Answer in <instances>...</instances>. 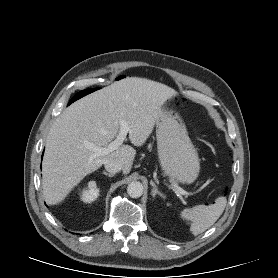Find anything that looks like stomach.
Segmentation results:
<instances>
[{
    "instance_id": "1",
    "label": "stomach",
    "mask_w": 278,
    "mask_h": 278,
    "mask_svg": "<svg viewBox=\"0 0 278 278\" xmlns=\"http://www.w3.org/2000/svg\"><path fill=\"white\" fill-rule=\"evenodd\" d=\"M156 138L164 175L176 182L192 184L199 175L200 162L180 116L162 109L156 121Z\"/></svg>"
}]
</instances>
